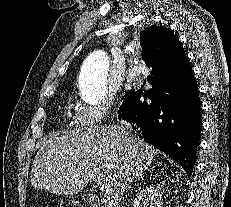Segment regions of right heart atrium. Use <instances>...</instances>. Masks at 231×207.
<instances>
[{"instance_id": "obj_1", "label": "right heart atrium", "mask_w": 231, "mask_h": 207, "mask_svg": "<svg viewBox=\"0 0 231 207\" xmlns=\"http://www.w3.org/2000/svg\"><path fill=\"white\" fill-rule=\"evenodd\" d=\"M113 108V100L105 99L96 105H80L77 107L74 120L77 126L91 128L103 121Z\"/></svg>"}]
</instances>
